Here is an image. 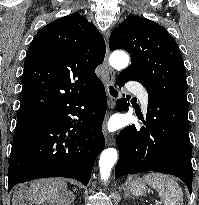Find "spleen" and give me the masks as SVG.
Listing matches in <instances>:
<instances>
[{"label":"spleen","instance_id":"spleen-1","mask_svg":"<svg viewBox=\"0 0 199 205\" xmlns=\"http://www.w3.org/2000/svg\"><path fill=\"white\" fill-rule=\"evenodd\" d=\"M144 181L157 189L164 205H183V192L170 176L152 172L144 176Z\"/></svg>","mask_w":199,"mask_h":205}]
</instances>
